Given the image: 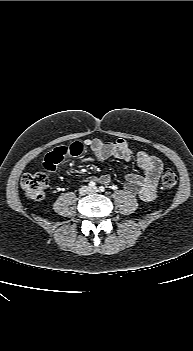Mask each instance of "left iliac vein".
Segmentation results:
<instances>
[{"mask_svg": "<svg viewBox=\"0 0 193 351\" xmlns=\"http://www.w3.org/2000/svg\"><path fill=\"white\" fill-rule=\"evenodd\" d=\"M97 191H98V188H97V187L91 188V193H96Z\"/></svg>", "mask_w": 193, "mask_h": 351, "instance_id": "left-iliac-vein-1", "label": "left iliac vein"}]
</instances>
